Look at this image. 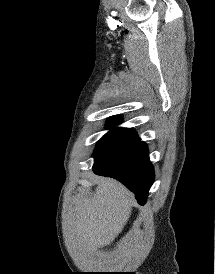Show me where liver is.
I'll list each match as a JSON object with an SVG mask.
<instances>
[{
  "instance_id": "6515ba94",
  "label": "liver",
  "mask_w": 215,
  "mask_h": 274,
  "mask_svg": "<svg viewBox=\"0 0 215 274\" xmlns=\"http://www.w3.org/2000/svg\"><path fill=\"white\" fill-rule=\"evenodd\" d=\"M133 195L119 182L100 178L92 197L77 199L69 212L71 247L88 253L110 244L126 225Z\"/></svg>"
}]
</instances>
